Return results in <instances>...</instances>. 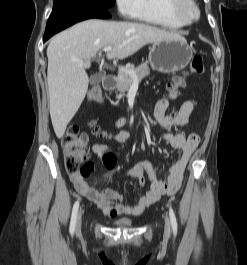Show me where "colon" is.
I'll return each instance as SVG.
<instances>
[{"mask_svg": "<svg viewBox=\"0 0 247 265\" xmlns=\"http://www.w3.org/2000/svg\"><path fill=\"white\" fill-rule=\"evenodd\" d=\"M204 70L202 57L199 55L194 56L190 63L189 72L202 74ZM184 85L185 77L178 76L169 85V90L172 94H176ZM88 99L95 103L101 102L103 99L101 88L99 86L92 87L88 92ZM91 126L94 134L104 136V133L95 123H92ZM87 142L88 135L81 133L79 127L76 125L70 126L63 137L62 145L64 149L65 168L70 175L88 176L92 172V164L85 162Z\"/></svg>", "mask_w": 247, "mask_h": 265, "instance_id": "5ec220e1", "label": "colon"}]
</instances>
